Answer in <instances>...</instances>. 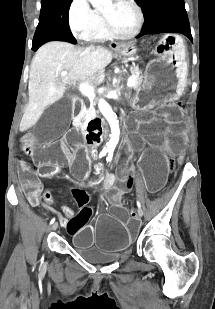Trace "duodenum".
<instances>
[{
	"mask_svg": "<svg viewBox=\"0 0 215 309\" xmlns=\"http://www.w3.org/2000/svg\"><path fill=\"white\" fill-rule=\"evenodd\" d=\"M124 120H126L125 116H122ZM77 126H81L79 122L76 123ZM87 132H86V143L91 148H96L100 146L105 137V130H104V121L101 118H93L89 124L87 125Z\"/></svg>",
	"mask_w": 215,
	"mask_h": 309,
	"instance_id": "duodenum-1",
	"label": "duodenum"
}]
</instances>
